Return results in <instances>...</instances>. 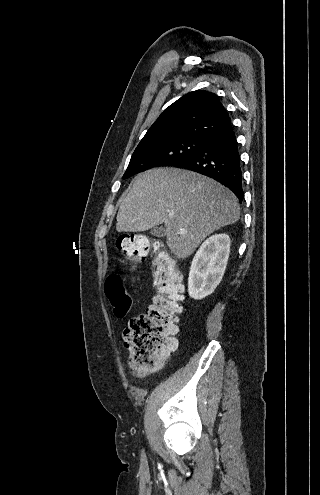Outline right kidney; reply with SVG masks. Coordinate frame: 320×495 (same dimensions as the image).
Segmentation results:
<instances>
[{"label":"right kidney","mask_w":320,"mask_h":495,"mask_svg":"<svg viewBox=\"0 0 320 495\" xmlns=\"http://www.w3.org/2000/svg\"><path fill=\"white\" fill-rule=\"evenodd\" d=\"M230 253V238L217 234L206 239L196 252L188 278L189 296L201 300L212 294L222 280Z\"/></svg>","instance_id":"obj_1"}]
</instances>
